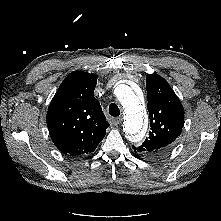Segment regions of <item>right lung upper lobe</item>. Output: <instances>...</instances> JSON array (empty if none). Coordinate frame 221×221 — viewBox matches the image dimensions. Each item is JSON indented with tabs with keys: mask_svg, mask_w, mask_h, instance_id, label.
Here are the masks:
<instances>
[{
	"mask_svg": "<svg viewBox=\"0 0 221 221\" xmlns=\"http://www.w3.org/2000/svg\"><path fill=\"white\" fill-rule=\"evenodd\" d=\"M97 76L74 71L61 83L47 112V126L55 146L65 155L93 152L109 123L94 97Z\"/></svg>",
	"mask_w": 221,
	"mask_h": 221,
	"instance_id": "cb5924a9",
	"label": "right lung upper lobe"
}]
</instances>
